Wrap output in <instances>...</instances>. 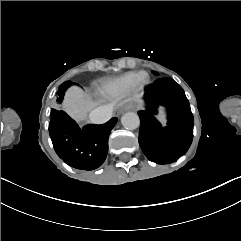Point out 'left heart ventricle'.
Instances as JSON below:
<instances>
[{
	"instance_id": "b2bd125f",
	"label": "left heart ventricle",
	"mask_w": 241,
	"mask_h": 241,
	"mask_svg": "<svg viewBox=\"0 0 241 241\" xmlns=\"http://www.w3.org/2000/svg\"><path fill=\"white\" fill-rule=\"evenodd\" d=\"M130 93H131L132 95H137V94L139 93V88H138L137 86H132V87L130 88Z\"/></svg>"
}]
</instances>
